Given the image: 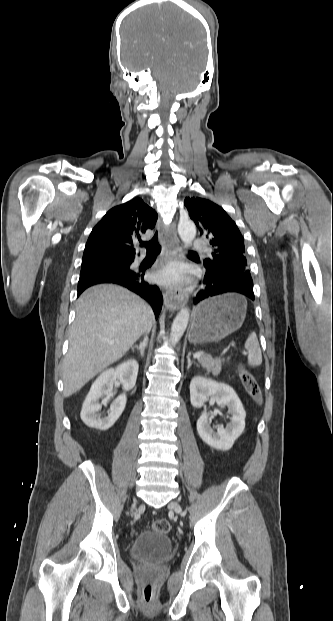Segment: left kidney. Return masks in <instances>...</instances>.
<instances>
[{"instance_id": "1", "label": "left kidney", "mask_w": 333, "mask_h": 621, "mask_svg": "<svg viewBox=\"0 0 333 621\" xmlns=\"http://www.w3.org/2000/svg\"><path fill=\"white\" fill-rule=\"evenodd\" d=\"M209 398L219 406L228 408L230 423L226 428L218 427L215 432L210 426L209 414L204 412L197 421L198 434L210 447L229 450L244 431L246 412L236 392L229 385L200 376L194 377L190 383L191 404L200 408Z\"/></svg>"}]
</instances>
